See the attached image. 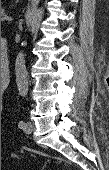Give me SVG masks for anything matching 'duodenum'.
<instances>
[{
	"mask_svg": "<svg viewBox=\"0 0 109 170\" xmlns=\"http://www.w3.org/2000/svg\"><path fill=\"white\" fill-rule=\"evenodd\" d=\"M1 52H2V59L4 60L5 65L7 66V51L4 43H1Z\"/></svg>",
	"mask_w": 109,
	"mask_h": 170,
	"instance_id": "410a0bca",
	"label": "duodenum"
}]
</instances>
